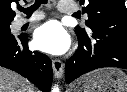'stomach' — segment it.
I'll use <instances>...</instances> for the list:
<instances>
[{
  "label": "stomach",
  "mask_w": 127,
  "mask_h": 92,
  "mask_svg": "<svg viewBox=\"0 0 127 92\" xmlns=\"http://www.w3.org/2000/svg\"><path fill=\"white\" fill-rule=\"evenodd\" d=\"M69 92H127V75L117 68L98 69L78 79Z\"/></svg>",
  "instance_id": "obj_1"
}]
</instances>
